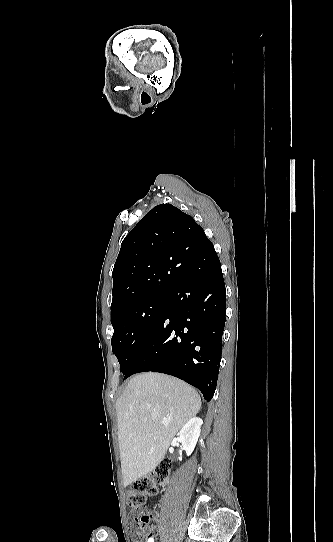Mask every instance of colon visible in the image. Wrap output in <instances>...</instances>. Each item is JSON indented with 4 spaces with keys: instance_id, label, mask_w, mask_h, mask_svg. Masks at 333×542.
Masks as SVG:
<instances>
[{
    "instance_id": "obj_1",
    "label": "colon",
    "mask_w": 333,
    "mask_h": 542,
    "mask_svg": "<svg viewBox=\"0 0 333 542\" xmlns=\"http://www.w3.org/2000/svg\"><path fill=\"white\" fill-rule=\"evenodd\" d=\"M170 467V461H162L152 470L150 475L139 478L134 487L128 491L127 504L130 507L128 514L129 522L133 528L131 531L133 540H142L145 534L151 532V528L147 525L152 520V516L146 513L149 508L146 503L147 496L157 495L158 491L167 483Z\"/></svg>"
}]
</instances>
